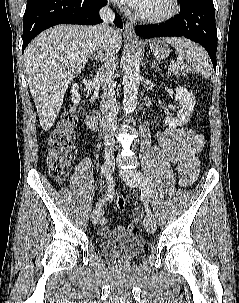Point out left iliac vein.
Here are the masks:
<instances>
[{
	"label": "left iliac vein",
	"mask_w": 239,
	"mask_h": 303,
	"mask_svg": "<svg viewBox=\"0 0 239 303\" xmlns=\"http://www.w3.org/2000/svg\"><path fill=\"white\" fill-rule=\"evenodd\" d=\"M136 172L137 171L132 169H120L119 175L128 186L134 188L137 187ZM144 227L148 233H154L156 231L157 223L153 216H146L144 219Z\"/></svg>",
	"instance_id": "1"
}]
</instances>
